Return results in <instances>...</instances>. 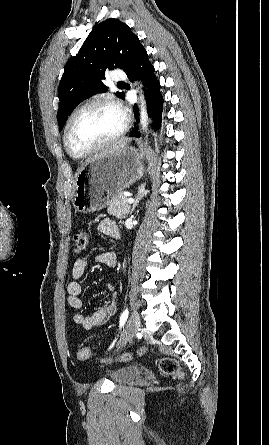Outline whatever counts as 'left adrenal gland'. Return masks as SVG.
<instances>
[{"mask_svg":"<svg viewBox=\"0 0 269 445\" xmlns=\"http://www.w3.org/2000/svg\"><path fill=\"white\" fill-rule=\"evenodd\" d=\"M148 193L147 190H145L144 185L141 186V188L139 189V192L135 198V202L133 204V207L131 209V214L134 211L135 207L138 205L139 201Z\"/></svg>","mask_w":269,"mask_h":445,"instance_id":"1","label":"left adrenal gland"}]
</instances>
